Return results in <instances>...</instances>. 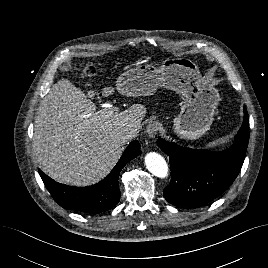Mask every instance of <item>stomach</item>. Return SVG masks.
<instances>
[{
  "instance_id": "stomach-1",
  "label": "stomach",
  "mask_w": 268,
  "mask_h": 268,
  "mask_svg": "<svg viewBox=\"0 0 268 268\" xmlns=\"http://www.w3.org/2000/svg\"><path fill=\"white\" fill-rule=\"evenodd\" d=\"M159 86L177 92L186 101L173 123L181 138L198 139L210 129L219 93L204 82L192 60L167 58L159 67L140 64L122 73L116 82L118 92L127 97L153 95Z\"/></svg>"
}]
</instances>
